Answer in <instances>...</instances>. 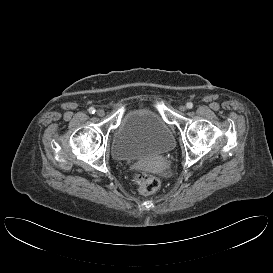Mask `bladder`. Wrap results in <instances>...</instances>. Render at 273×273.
<instances>
[{"mask_svg":"<svg viewBox=\"0 0 273 273\" xmlns=\"http://www.w3.org/2000/svg\"><path fill=\"white\" fill-rule=\"evenodd\" d=\"M175 144L171 128L156 113L134 109L125 113L113 132L110 151L116 161H141L165 155Z\"/></svg>","mask_w":273,"mask_h":273,"instance_id":"31cf9c89","label":"bladder"}]
</instances>
